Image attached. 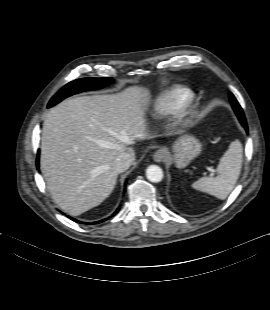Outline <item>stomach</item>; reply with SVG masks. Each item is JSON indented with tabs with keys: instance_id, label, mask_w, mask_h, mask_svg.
Segmentation results:
<instances>
[{
	"instance_id": "0dacf381",
	"label": "stomach",
	"mask_w": 270,
	"mask_h": 310,
	"mask_svg": "<svg viewBox=\"0 0 270 310\" xmlns=\"http://www.w3.org/2000/svg\"><path fill=\"white\" fill-rule=\"evenodd\" d=\"M202 150L200 141L191 135H183L172 146V160L177 168L186 167Z\"/></svg>"
}]
</instances>
